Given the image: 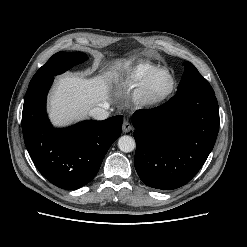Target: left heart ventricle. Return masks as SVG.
<instances>
[{"label":"left heart ventricle","instance_id":"left-heart-ventricle-1","mask_svg":"<svg viewBox=\"0 0 247 247\" xmlns=\"http://www.w3.org/2000/svg\"><path fill=\"white\" fill-rule=\"evenodd\" d=\"M170 86V77L164 72H157L148 80L145 92L150 98H159L167 93Z\"/></svg>","mask_w":247,"mask_h":247}]
</instances>
